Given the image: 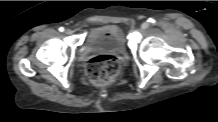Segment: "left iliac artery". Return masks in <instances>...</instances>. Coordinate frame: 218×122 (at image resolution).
Returning <instances> with one entry per match:
<instances>
[{
    "mask_svg": "<svg viewBox=\"0 0 218 122\" xmlns=\"http://www.w3.org/2000/svg\"><path fill=\"white\" fill-rule=\"evenodd\" d=\"M148 22H150V23H155V20H154L153 18H149V19H148Z\"/></svg>",
    "mask_w": 218,
    "mask_h": 122,
    "instance_id": "1",
    "label": "left iliac artery"
}]
</instances>
